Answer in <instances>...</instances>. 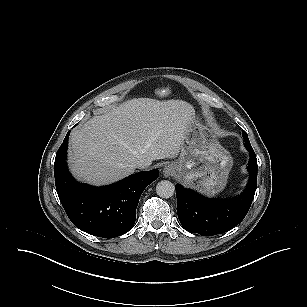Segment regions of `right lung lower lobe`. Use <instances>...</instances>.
<instances>
[{
    "label": "right lung lower lobe",
    "instance_id": "obj_1",
    "mask_svg": "<svg viewBox=\"0 0 307 307\" xmlns=\"http://www.w3.org/2000/svg\"><path fill=\"white\" fill-rule=\"evenodd\" d=\"M69 134L54 163L56 191L67 216L77 228L94 236L114 238L127 233L135 223L141 194L159 171L139 172L98 188L78 183L66 166Z\"/></svg>",
    "mask_w": 307,
    "mask_h": 307
}]
</instances>
